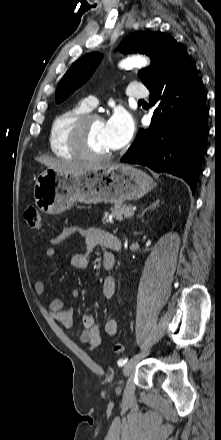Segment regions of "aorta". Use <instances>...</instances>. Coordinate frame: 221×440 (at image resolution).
Returning <instances> with one entry per match:
<instances>
[{
	"mask_svg": "<svg viewBox=\"0 0 221 440\" xmlns=\"http://www.w3.org/2000/svg\"><path fill=\"white\" fill-rule=\"evenodd\" d=\"M150 61L147 57L141 55L130 56L121 61V68H140L149 65Z\"/></svg>",
	"mask_w": 221,
	"mask_h": 440,
	"instance_id": "aorta-1",
	"label": "aorta"
}]
</instances>
